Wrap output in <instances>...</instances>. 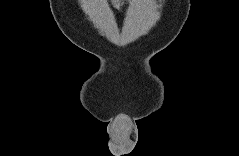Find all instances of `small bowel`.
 Masks as SVG:
<instances>
[{
	"label": "small bowel",
	"mask_w": 239,
	"mask_h": 156,
	"mask_svg": "<svg viewBox=\"0 0 239 156\" xmlns=\"http://www.w3.org/2000/svg\"><path fill=\"white\" fill-rule=\"evenodd\" d=\"M125 5V2L123 1H119V0H115L112 2V6L115 8V9H120L121 7H123Z\"/></svg>",
	"instance_id": "small-bowel-1"
}]
</instances>
